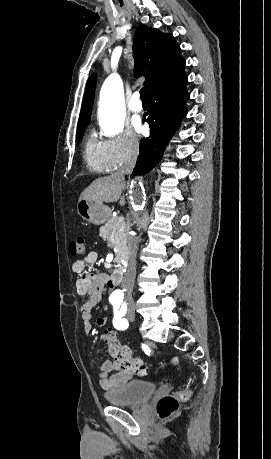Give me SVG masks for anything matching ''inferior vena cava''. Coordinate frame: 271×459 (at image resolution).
Instances as JSON below:
<instances>
[{"instance_id": "602c4592", "label": "inferior vena cava", "mask_w": 271, "mask_h": 459, "mask_svg": "<svg viewBox=\"0 0 271 459\" xmlns=\"http://www.w3.org/2000/svg\"><path fill=\"white\" fill-rule=\"evenodd\" d=\"M135 166V162H127V164H124L122 168H120L119 172L120 174H132V170ZM133 285L134 281L133 279H128V271L125 273L124 281L122 283L123 289H126L127 291V297H131V293L133 291Z\"/></svg>"}]
</instances>
